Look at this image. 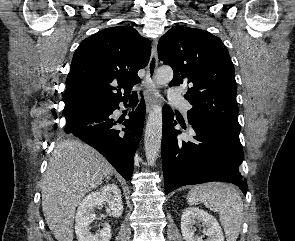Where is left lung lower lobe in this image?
I'll list each match as a JSON object with an SVG mask.
<instances>
[{
    "label": "left lung lower lobe",
    "instance_id": "1",
    "mask_svg": "<svg viewBox=\"0 0 295 241\" xmlns=\"http://www.w3.org/2000/svg\"><path fill=\"white\" fill-rule=\"evenodd\" d=\"M196 141L177 139L174 114L163 107L162 166L165 193L185 185L223 181L246 195L247 182L239 171L243 150L239 134L208 123L190 122ZM185 128V127H183Z\"/></svg>",
    "mask_w": 295,
    "mask_h": 241
}]
</instances>
